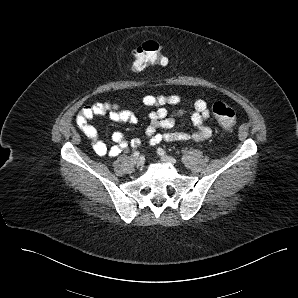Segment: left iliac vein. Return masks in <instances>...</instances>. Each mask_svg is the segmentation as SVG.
Instances as JSON below:
<instances>
[{"mask_svg": "<svg viewBox=\"0 0 298 298\" xmlns=\"http://www.w3.org/2000/svg\"><path fill=\"white\" fill-rule=\"evenodd\" d=\"M161 160L164 163H168V164H175L176 163V160L173 157L168 156V155H162Z\"/></svg>", "mask_w": 298, "mask_h": 298, "instance_id": "obj_1", "label": "left iliac vein"}]
</instances>
